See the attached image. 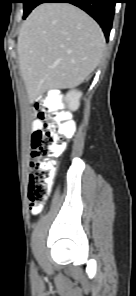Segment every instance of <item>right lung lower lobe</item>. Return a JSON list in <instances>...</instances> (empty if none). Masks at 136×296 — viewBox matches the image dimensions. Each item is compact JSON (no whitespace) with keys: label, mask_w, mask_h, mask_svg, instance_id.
I'll return each mask as SVG.
<instances>
[{"label":"right lung lower lobe","mask_w":136,"mask_h":296,"mask_svg":"<svg viewBox=\"0 0 136 296\" xmlns=\"http://www.w3.org/2000/svg\"><path fill=\"white\" fill-rule=\"evenodd\" d=\"M41 3H71L87 12L101 26L106 40L112 27L115 4L117 0H39Z\"/></svg>","instance_id":"1"}]
</instances>
